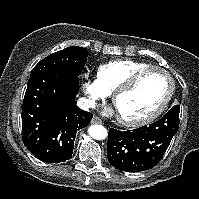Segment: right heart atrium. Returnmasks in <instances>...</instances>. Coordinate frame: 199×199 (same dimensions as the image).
I'll return each instance as SVG.
<instances>
[{"label":"right heart atrium","mask_w":199,"mask_h":199,"mask_svg":"<svg viewBox=\"0 0 199 199\" xmlns=\"http://www.w3.org/2000/svg\"><path fill=\"white\" fill-rule=\"evenodd\" d=\"M82 90L86 96L87 104L94 108L99 100L109 96V92L100 83L98 78H90L82 83Z\"/></svg>","instance_id":"d8ad5b80"}]
</instances>
